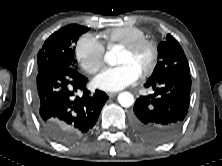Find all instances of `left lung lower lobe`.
<instances>
[{
    "mask_svg": "<svg viewBox=\"0 0 222 166\" xmlns=\"http://www.w3.org/2000/svg\"><path fill=\"white\" fill-rule=\"evenodd\" d=\"M145 87L154 93L139 97L134 105L131 125L144 140L163 144L181 130L190 104L191 76L177 73L148 80Z\"/></svg>",
    "mask_w": 222,
    "mask_h": 166,
    "instance_id": "0a47b994",
    "label": "left lung lower lobe"
}]
</instances>
